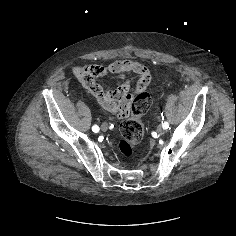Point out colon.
Wrapping results in <instances>:
<instances>
[{
	"label": "colon",
	"mask_w": 236,
	"mask_h": 236,
	"mask_svg": "<svg viewBox=\"0 0 236 236\" xmlns=\"http://www.w3.org/2000/svg\"><path fill=\"white\" fill-rule=\"evenodd\" d=\"M148 86H146L136 100L128 106L127 113L123 116H119L124 118V120L120 127L122 138L119 141L118 148L125 158L134 156L136 145L140 143L144 135L142 117L150 106Z\"/></svg>",
	"instance_id": "1"
}]
</instances>
